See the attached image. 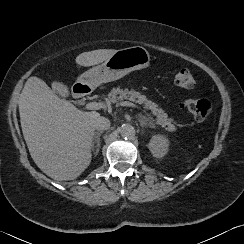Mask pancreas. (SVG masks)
I'll list each match as a JSON object with an SVG mask.
<instances>
[{
    "instance_id": "cf45deb5",
    "label": "pancreas",
    "mask_w": 244,
    "mask_h": 244,
    "mask_svg": "<svg viewBox=\"0 0 244 244\" xmlns=\"http://www.w3.org/2000/svg\"><path fill=\"white\" fill-rule=\"evenodd\" d=\"M108 99L112 103L120 102L123 100H130L132 102H136L139 104H143L144 107L148 110H151L153 115L157 116V123L162 126H167L168 131H175V122L173 119L168 118L167 113L158 105L140 92L135 91L134 89H121L120 87L113 88L111 92L108 94Z\"/></svg>"
}]
</instances>
